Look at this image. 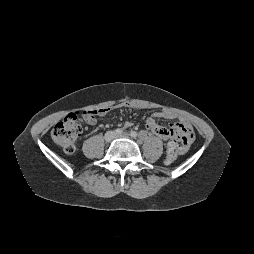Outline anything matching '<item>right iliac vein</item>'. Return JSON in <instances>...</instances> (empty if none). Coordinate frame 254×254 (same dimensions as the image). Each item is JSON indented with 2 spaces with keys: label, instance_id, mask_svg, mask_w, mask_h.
I'll use <instances>...</instances> for the list:
<instances>
[{
  "label": "right iliac vein",
  "instance_id": "1",
  "mask_svg": "<svg viewBox=\"0 0 254 254\" xmlns=\"http://www.w3.org/2000/svg\"><path fill=\"white\" fill-rule=\"evenodd\" d=\"M115 137V133L113 131H109L105 134V140L107 142L111 141Z\"/></svg>",
  "mask_w": 254,
  "mask_h": 254
}]
</instances>
